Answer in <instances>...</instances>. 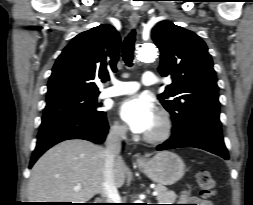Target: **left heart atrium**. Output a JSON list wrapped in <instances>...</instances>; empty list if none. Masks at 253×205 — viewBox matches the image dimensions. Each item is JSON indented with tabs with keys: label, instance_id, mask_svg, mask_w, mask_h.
Here are the masks:
<instances>
[{
	"label": "left heart atrium",
	"instance_id": "1",
	"mask_svg": "<svg viewBox=\"0 0 253 205\" xmlns=\"http://www.w3.org/2000/svg\"><path fill=\"white\" fill-rule=\"evenodd\" d=\"M120 117L132 132L148 133L157 120V111L152 101L144 96L124 100L119 108Z\"/></svg>",
	"mask_w": 253,
	"mask_h": 205
}]
</instances>
